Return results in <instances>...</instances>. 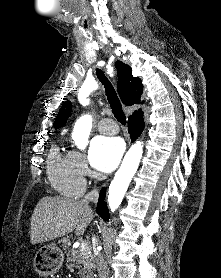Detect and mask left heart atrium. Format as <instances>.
Masks as SVG:
<instances>
[{"instance_id":"obj_1","label":"left heart atrium","mask_w":221,"mask_h":278,"mask_svg":"<svg viewBox=\"0 0 221 278\" xmlns=\"http://www.w3.org/2000/svg\"><path fill=\"white\" fill-rule=\"evenodd\" d=\"M124 145L117 137H95L90 145L89 160L92 166L101 173L113 171L123 154Z\"/></svg>"}]
</instances>
